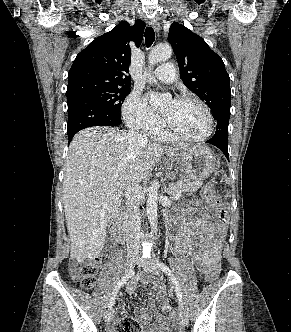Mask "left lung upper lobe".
<instances>
[{"label":"left lung upper lobe","mask_w":291,"mask_h":332,"mask_svg":"<svg viewBox=\"0 0 291 332\" xmlns=\"http://www.w3.org/2000/svg\"><path fill=\"white\" fill-rule=\"evenodd\" d=\"M168 40L184 85L209 106L213 115L230 109V78L221 57L200 36L177 22L170 26Z\"/></svg>","instance_id":"left-lung-upper-lobe-1"}]
</instances>
